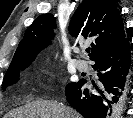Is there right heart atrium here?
<instances>
[{
    "label": "right heart atrium",
    "instance_id": "obj_1",
    "mask_svg": "<svg viewBox=\"0 0 133 118\" xmlns=\"http://www.w3.org/2000/svg\"><path fill=\"white\" fill-rule=\"evenodd\" d=\"M44 79H45L46 81H50V80L52 79V73L49 72V71H46V72L44 73Z\"/></svg>",
    "mask_w": 133,
    "mask_h": 118
}]
</instances>
